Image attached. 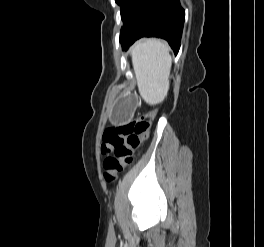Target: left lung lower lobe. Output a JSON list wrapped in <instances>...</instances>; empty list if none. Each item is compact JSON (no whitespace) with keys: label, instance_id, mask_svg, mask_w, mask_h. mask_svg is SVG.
I'll return each mask as SVG.
<instances>
[{"label":"left lung lower lobe","instance_id":"left-lung-lower-lobe-1","mask_svg":"<svg viewBox=\"0 0 264 247\" xmlns=\"http://www.w3.org/2000/svg\"><path fill=\"white\" fill-rule=\"evenodd\" d=\"M184 20L179 0H145L120 35L122 48L128 49L141 37H158L167 40L177 54Z\"/></svg>","mask_w":264,"mask_h":247}]
</instances>
